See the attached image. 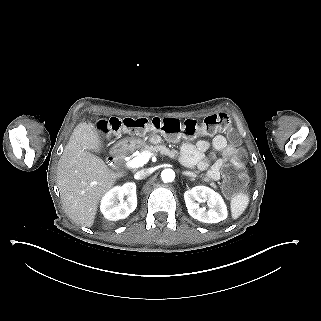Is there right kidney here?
I'll return each instance as SVG.
<instances>
[{
	"label": "right kidney",
	"mask_w": 321,
	"mask_h": 321,
	"mask_svg": "<svg viewBox=\"0 0 321 321\" xmlns=\"http://www.w3.org/2000/svg\"><path fill=\"white\" fill-rule=\"evenodd\" d=\"M137 207L136 185L126 183L109 191L103 198L101 211L109 220L124 219Z\"/></svg>",
	"instance_id": "ca27d5eb"
}]
</instances>
